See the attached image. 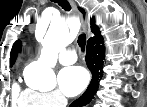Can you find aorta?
Returning a JSON list of instances; mask_svg holds the SVG:
<instances>
[{
	"label": "aorta",
	"instance_id": "aorta-1",
	"mask_svg": "<svg viewBox=\"0 0 147 107\" xmlns=\"http://www.w3.org/2000/svg\"><path fill=\"white\" fill-rule=\"evenodd\" d=\"M70 42L71 35L68 26L60 20L51 22L42 40L43 48L40 58L28 66L34 77L33 85L42 90H51L55 87L53 68L57 63L59 50Z\"/></svg>",
	"mask_w": 147,
	"mask_h": 107
}]
</instances>
